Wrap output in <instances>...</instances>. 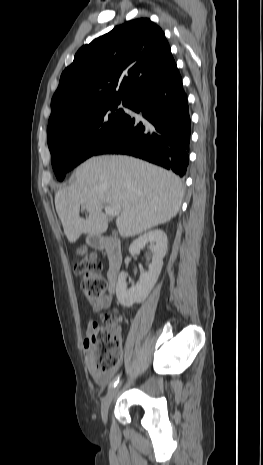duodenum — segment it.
Here are the masks:
<instances>
[{"mask_svg": "<svg viewBox=\"0 0 263 465\" xmlns=\"http://www.w3.org/2000/svg\"><path fill=\"white\" fill-rule=\"evenodd\" d=\"M91 245L100 250H104L108 259V281L110 288L114 289L119 269L123 262L121 243L118 239L107 236H96L91 239Z\"/></svg>", "mask_w": 263, "mask_h": 465, "instance_id": "410a0bca", "label": "duodenum"}]
</instances>
